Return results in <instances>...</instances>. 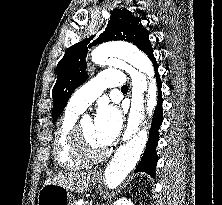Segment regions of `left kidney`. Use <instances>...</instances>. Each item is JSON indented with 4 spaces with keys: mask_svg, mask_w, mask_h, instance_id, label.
Listing matches in <instances>:
<instances>
[{
    "mask_svg": "<svg viewBox=\"0 0 222 205\" xmlns=\"http://www.w3.org/2000/svg\"><path fill=\"white\" fill-rule=\"evenodd\" d=\"M113 205H134V204L131 202L130 199L123 197V198L116 200Z\"/></svg>",
    "mask_w": 222,
    "mask_h": 205,
    "instance_id": "5707ae66",
    "label": "left kidney"
}]
</instances>
